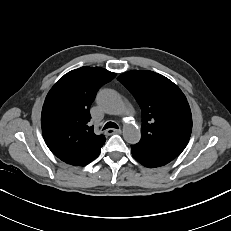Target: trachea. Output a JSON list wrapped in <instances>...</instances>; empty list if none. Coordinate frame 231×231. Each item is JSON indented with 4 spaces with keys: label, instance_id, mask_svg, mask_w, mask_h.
I'll return each instance as SVG.
<instances>
[{
    "label": "trachea",
    "instance_id": "trachea-1",
    "mask_svg": "<svg viewBox=\"0 0 231 231\" xmlns=\"http://www.w3.org/2000/svg\"><path fill=\"white\" fill-rule=\"evenodd\" d=\"M108 128H115V129H118L119 127H118V125H117L116 123H114V122H108V123L105 124L103 130L108 129Z\"/></svg>",
    "mask_w": 231,
    "mask_h": 231
}]
</instances>
